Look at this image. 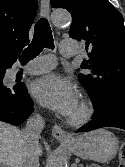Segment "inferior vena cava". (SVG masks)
I'll use <instances>...</instances> for the list:
<instances>
[{
    "mask_svg": "<svg viewBox=\"0 0 125 167\" xmlns=\"http://www.w3.org/2000/svg\"><path fill=\"white\" fill-rule=\"evenodd\" d=\"M44 120L36 114L27 120L22 131L24 144V161L22 167H39L38 139L44 128Z\"/></svg>",
    "mask_w": 125,
    "mask_h": 167,
    "instance_id": "obj_1",
    "label": "inferior vena cava"
}]
</instances>
